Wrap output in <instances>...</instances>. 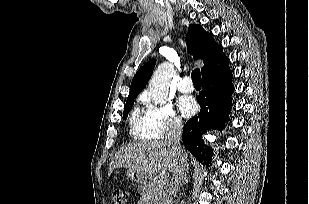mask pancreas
I'll return each mask as SVG.
<instances>
[{
  "mask_svg": "<svg viewBox=\"0 0 309 204\" xmlns=\"http://www.w3.org/2000/svg\"><path fill=\"white\" fill-rule=\"evenodd\" d=\"M165 184L161 179L151 180L142 188L141 201L144 204H162L160 200L164 194Z\"/></svg>",
  "mask_w": 309,
  "mask_h": 204,
  "instance_id": "pancreas-1",
  "label": "pancreas"
}]
</instances>
